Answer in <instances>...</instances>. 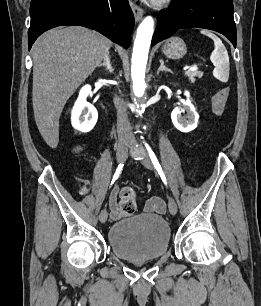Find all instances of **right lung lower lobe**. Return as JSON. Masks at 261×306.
I'll use <instances>...</instances> for the list:
<instances>
[{
    "instance_id": "98d812e1",
    "label": "right lung lower lobe",
    "mask_w": 261,
    "mask_h": 306,
    "mask_svg": "<svg viewBox=\"0 0 261 306\" xmlns=\"http://www.w3.org/2000/svg\"><path fill=\"white\" fill-rule=\"evenodd\" d=\"M28 47L45 31L65 25L94 29L128 48L134 16L128 0H31Z\"/></svg>"
}]
</instances>
